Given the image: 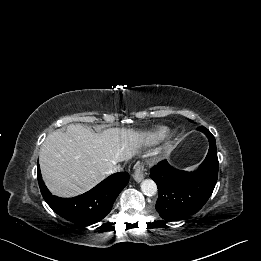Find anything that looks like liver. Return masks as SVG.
<instances>
[{"label":"liver","mask_w":261,"mask_h":261,"mask_svg":"<svg viewBox=\"0 0 261 261\" xmlns=\"http://www.w3.org/2000/svg\"><path fill=\"white\" fill-rule=\"evenodd\" d=\"M143 134L133 129L111 128L98 134L71 124L45 139L39 154L43 180L57 196L82 194L104 180L110 169L135 155Z\"/></svg>","instance_id":"1"}]
</instances>
